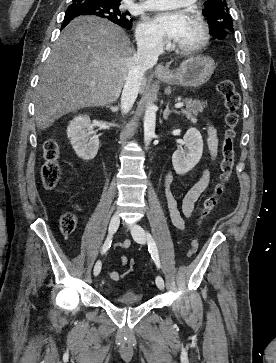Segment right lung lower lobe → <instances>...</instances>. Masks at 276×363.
Segmentation results:
<instances>
[{"mask_svg": "<svg viewBox=\"0 0 276 363\" xmlns=\"http://www.w3.org/2000/svg\"><path fill=\"white\" fill-rule=\"evenodd\" d=\"M80 15H89V14H87L85 12H76V13H72V14H65V18H64V21L62 23L61 28H64L67 24H69V22L72 19H74L75 17L80 16ZM124 28L130 29L131 26L130 27H124Z\"/></svg>", "mask_w": 276, "mask_h": 363, "instance_id": "98d812e1", "label": "right lung lower lobe"}]
</instances>
